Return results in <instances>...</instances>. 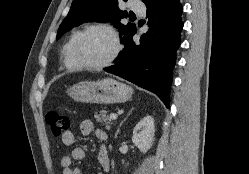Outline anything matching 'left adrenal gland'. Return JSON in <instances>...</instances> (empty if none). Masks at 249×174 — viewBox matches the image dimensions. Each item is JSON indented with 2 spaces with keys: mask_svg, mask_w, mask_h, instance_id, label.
Segmentation results:
<instances>
[{
  "mask_svg": "<svg viewBox=\"0 0 249 174\" xmlns=\"http://www.w3.org/2000/svg\"><path fill=\"white\" fill-rule=\"evenodd\" d=\"M133 109H134V108L131 109V111L128 113V115L132 112ZM126 119H127V118H126ZM126 119H124V121H125ZM124 121H122V122L120 123V125H119V127H118V129H117V132H116V134H115V137H117V135H118V133H119V131H120V127H121V125L123 124Z\"/></svg>",
  "mask_w": 249,
  "mask_h": 174,
  "instance_id": "a2214340",
  "label": "left adrenal gland"
}]
</instances>
